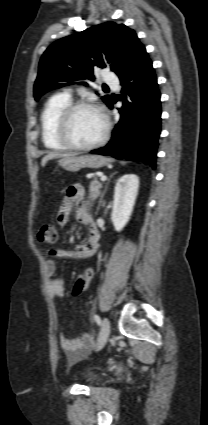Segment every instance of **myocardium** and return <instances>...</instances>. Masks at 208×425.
Masks as SVG:
<instances>
[{"label":"myocardium","mask_w":208,"mask_h":425,"mask_svg":"<svg viewBox=\"0 0 208 425\" xmlns=\"http://www.w3.org/2000/svg\"><path fill=\"white\" fill-rule=\"evenodd\" d=\"M81 109H89V110H94L97 111L103 118L104 120V131L101 135V137L91 143V144H87V145H81L76 143L70 134V129H71V123H72V119L74 117V114ZM109 132H110V121L108 116L106 115V113L97 105L90 103V102H85V101H76V102H71L60 114L59 119H58V123H57V137L58 140L65 145L68 149L71 150H76V151H89L95 148H98L100 146H102L103 144H105V142L107 141L108 137H109Z\"/></svg>","instance_id":"obj_1"}]
</instances>
